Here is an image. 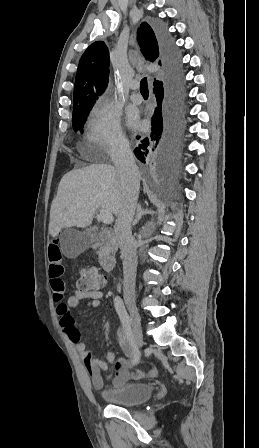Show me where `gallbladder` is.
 I'll use <instances>...</instances> for the list:
<instances>
[{"mask_svg": "<svg viewBox=\"0 0 259 448\" xmlns=\"http://www.w3.org/2000/svg\"><path fill=\"white\" fill-rule=\"evenodd\" d=\"M109 236L111 232L107 230L99 232L97 228H89L88 232H77L72 228H66L60 238L61 250L66 258H77L92 244H105Z\"/></svg>", "mask_w": 259, "mask_h": 448, "instance_id": "gallbladder-1", "label": "gallbladder"}]
</instances>
